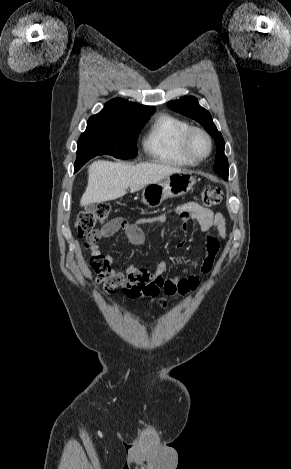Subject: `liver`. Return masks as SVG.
Wrapping results in <instances>:
<instances>
[{"label": "liver", "instance_id": "liver-1", "mask_svg": "<svg viewBox=\"0 0 291 469\" xmlns=\"http://www.w3.org/2000/svg\"><path fill=\"white\" fill-rule=\"evenodd\" d=\"M178 172H181L179 168L164 164L95 161L89 166L88 184L80 205L115 200L124 196L129 187L133 193Z\"/></svg>", "mask_w": 291, "mask_h": 469}]
</instances>
